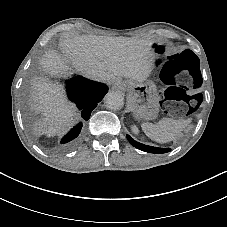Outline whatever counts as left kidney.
I'll use <instances>...</instances> for the list:
<instances>
[{"label":"left kidney","instance_id":"obj_1","mask_svg":"<svg viewBox=\"0 0 227 227\" xmlns=\"http://www.w3.org/2000/svg\"><path fill=\"white\" fill-rule=\"evenodd\" d=\"M131 131L134 133V134H138L139 133V129L136 125H132L131 126Z\"/></svg>","mask_w":227,"mask_h":227}]
</instances>
